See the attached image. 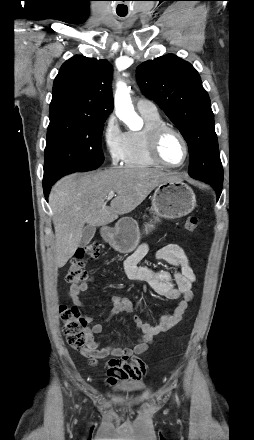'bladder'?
I'll list each match as a JSON object with an SVG mask.
<instances>
[{
  "label": "bladder",
  "instance_id": "bladder-1",
  "mask_svg": "<svg viewBox=\"0 0 254 440\" xmlns=\"http://www.w3.org/2000/svg\"><path fill=\"white\" fill-rule=\"evenodd\" d=\"M145 388V384L143 383H135L132 384L128 387V390L130 391H139V390H143Z\"/></svg>",
  "mask_w": 254,
  "mask_h": 440
}]
</instances>
